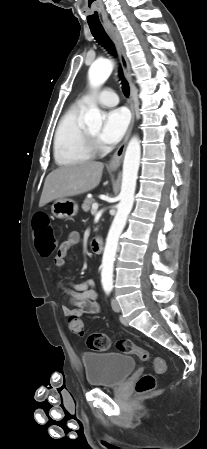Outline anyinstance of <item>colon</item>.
<instances>
[{"label": "colon", "instance_id": "1", "mask_svg": "<svg viewBox=\"0 0 207 449\" xmlns=\"http://www.w3.org/2000/svg\"><path fill=\"white\" fill-rule=\"evenodd\" d=\"M33 222L35 247L40 256L49 257L56 247L54 231L47 217L42 213H37L34 216ZM68 326L72 334L80 337L85 335L84 323L79 317H70ZM87 345L95 351H106L110 347V340L104 333H92L87 337ZM116 347L121 353L136 355L142 361L152 360V355L148 350L137 346L129 339L119 340L116 343ZM153 364L156 373L162 374L166 371V363L162 358H153ZM154 387V376L152 374H145L137 381L135 389L137 393L144 394L153 390Z\"/></svg>", "mask_w": 207, "mask_h": 449}]
</instances>
